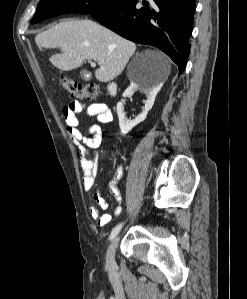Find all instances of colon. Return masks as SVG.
I'll return each mask as SVG.
<instances>
[{
    "label": "colon",
    "instance_id": "obj_1",
    "mask_svg": "<svg viewBox=\"0 0 247 299\" xmlns=\"http://www.w3.org/2000/svg\"><path fill=\"white\" fill-rule=\"evenodd\" d=\"M61 83L69 94L79 99L92 100L98 97L100 93V89L96 84L83 85L69 77H62Z\"/></svg>",
    "mask_w": 247,
    "mask_h": 299
}]
</instances>
